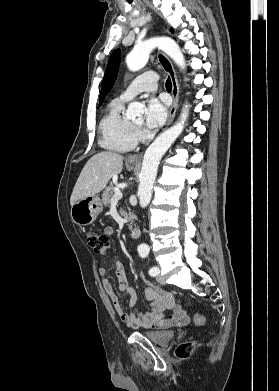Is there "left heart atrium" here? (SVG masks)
Returning a JSON list of instances; mask_svg holds the SVG:
<instances>
[{
    "label": "left heart atrium",
    "mask_w": 279,
    "mask_h": 391,
    "mask_svg": "<svg viewBox=\"0 0 279 391\" xmlns=\"http://www.w3.org/2000/svg\"><path fill=\"white\" fill-rule=\"evenodd\" d=\"M167 117V106L163 99L151 97L147 101L145 112V126L152 130L159 127Z\"/></svg>",
    "instance_id": "1"
}]
</instances>
